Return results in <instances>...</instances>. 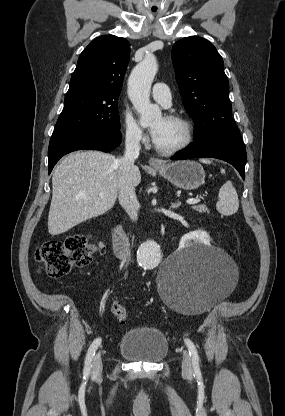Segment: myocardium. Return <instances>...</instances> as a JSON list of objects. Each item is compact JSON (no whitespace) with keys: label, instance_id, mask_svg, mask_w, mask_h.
<instances>
[{"label":"myocardium","instance_id":"obj_1","mask_svg":"<svg viewBox=\"0 0 285 416\" xmlns=\"http://www.w3.org/2000/svg\"><path fill=\"white\" fill-rule=\"evenodd\" d=\"M165 118L171 120L172 122L180 125L183 129V133H184V137L183 140L176 146L172 147V148H161L159 147L157 144L155 145V149L158 153L162 154V155H176L184 150H186L191 142H192V138H193V131H192V126L189 123V121L187 119H185L182 116L176 115V114H168L165 116Z\"/></svg>","mask_w":285,"mask_h":416}]
</instances>
